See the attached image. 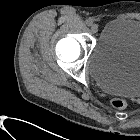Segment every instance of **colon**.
<instances>
[{
	"label": "colon",
	"instance_id": "1",
	"mask_svg": "<svg viewBox=\"0 0 140 140\" xmlns=\"http://www.w3.org/2000/svg\"><path fill=\"white\" fill-rule=\"evenodd\" d=\"M111 105L116 109H124L127 106V102L121 97H114L111 100Z\"/></svg>",
	"mask_w": 140,
	"mask_h": 140
}]
</instances>
